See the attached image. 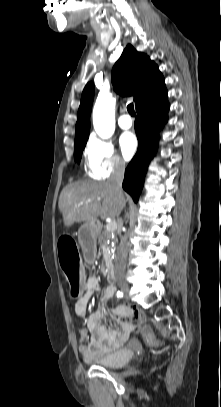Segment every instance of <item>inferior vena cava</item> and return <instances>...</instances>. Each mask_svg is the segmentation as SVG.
Returning <instances> with one entry per match:
<instances>
[{
    "mask_svg": "<svg viewBox=\"0 0 221 407\" xmlns=\"http://www.w3.org/2000/svg\"><path fill=\"white\" fill-rule=\"evenodd\" d=\"M125 163L123 161H116L114 169L107 183L115 190L118 198L125 205V199L122 192V182L124 179ZM128 255V246L126 239L121 237L120 244L117 249V256L115 260V273L121 275L126 268V261Z\"/></svg>",
    "mask_w": 221,
    "mask_h": 407,
    "instance_id": "1",
    "label": "inferior vena cava"
}]
</instances>
